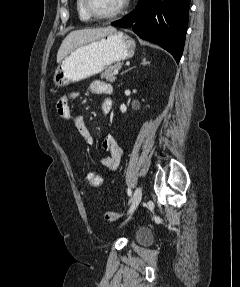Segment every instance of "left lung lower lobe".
<instances>
[{
	"mask_svg": "<svg viewBox=\"0 0 240 287\" xmlns=\"http://www.w3.org/2000/svg\"><path fill=\"white\" fill-rule=\"evenodd\" d=\"M190 0H140L135 9L111 25L130 28L142 39L154 42L173 55L182 56Z\"/></svg>",
	"mask_w": 240,
	"mask_h": 287,
	"instance_id": "obj_1",
	"label": "left lung lower lobe"
}]
</instances>
